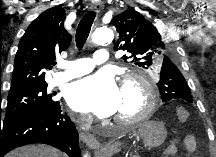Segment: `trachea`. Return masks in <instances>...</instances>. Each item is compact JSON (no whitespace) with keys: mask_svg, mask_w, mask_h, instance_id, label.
Returning a JSON list of instances; mask_svg holds the SVG:
<instances>
[{"mask_svg":"<svg viewBox=\"0 0 216 157\" xmlns=\"http://www.w3.org/2000/svg\"><path fill=\"white\" fill-rule=\"evenodd\" d=\"M96 17L94 11H89L79 22L76 30V44L78 48H82L89 36L93 21Z\"/></svg>","mask_w":216,"mask_h":157,"instance_id":"trachea-1","label":"trachea"}]
</instances>
